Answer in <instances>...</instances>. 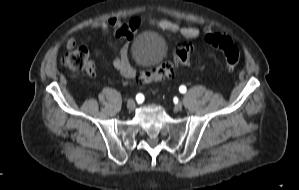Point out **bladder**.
<instances>
[{
	"mask_svg": "<svg viewBox=\"0 0 299 190\" xmlns=\"http://www.w3.org/2000/svg\"><path fill=\"white\" fill-rule=\"evenodd\" d=\"M164 52L162 39L155 33H146L133 43L131 57L135 65L148 69L161 60Z\"/></svg>",
	"mask_w": 299,
	"mask_h": 190,
	"instance_id": "1",
	"label": "bladder"
}]
</instances>
